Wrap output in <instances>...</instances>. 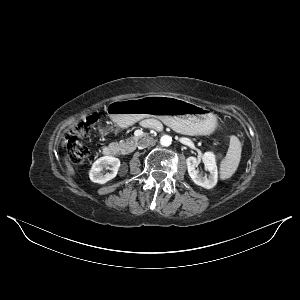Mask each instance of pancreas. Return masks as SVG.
Returning a JSON list of instances; mask_svg holds the SVG:
<instances>
[{
	"label": "pancreas",
	"mask_w": 300,
	"mask_h": 300,
	"mask_svg": "<svg viewBox=\"0 0 300 300\" xmlns=\"http://www.w3.org/2000/svg\"><path fill=\"white\" fill-rule=\"evenodd\" d=\"M138 137L133 136L126 140H121L119 143H115L118 146L122 154H128L134 150L135 145L138 142Z\"/></svg>",
	"instance_id": "cf45deb5"
}]
</instances>
